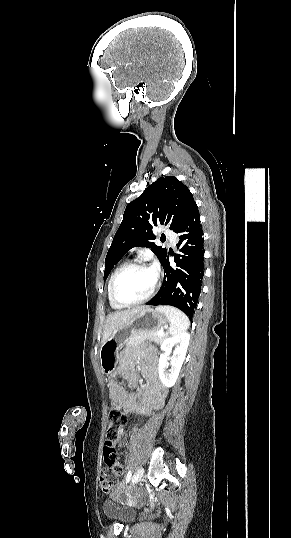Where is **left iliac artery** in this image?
<instances>
[{
  "label": "left iliac artery",
  "instance_id": "obj_1",
  "mask_svg": "<svg viewBox=\"0 0 291 538\" xmlns=\"http://www.w3.org/2000/svg\"><path fill=\"white\" fill-rule=\"evenodd\" d=\"M131 476H132V471L129 470L128 473H127V476H126V483H128L130 481Z\"/></svg>",
  "mask_w": 291,
  "mask_h": 538
}]
</instances>
